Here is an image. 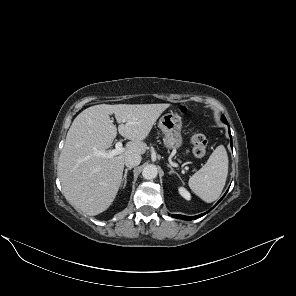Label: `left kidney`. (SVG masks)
Segmentation results:
<instances>
[{"instance_id": "left-kidney-1", "label": "left kidney", "mask_w": 296, "mask_h": 296, "mask_svg": "<svg viewBox=\"0 0 296 296\" xmlns=\"http://www.w3.org/2000/svg\"><path fill=\"white\" fill-rule=\"evenodd\" d=\"M178 191H179V194L183 198H185L186 200H190L191 199L190 193L184 187H179Z\"/></svg>"}]
</instances>
